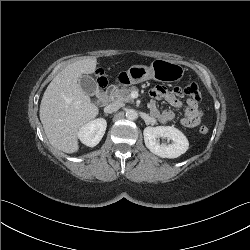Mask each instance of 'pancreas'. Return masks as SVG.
Instances as JSON below:
<instances>
[{
	"label": "pancreas",
	"instance_id": "1",
	"mask_svg": "<svg viewBox=\"0 0 250 250\" xmlns=\"http://www.w3.org/2000/svg\"><path fill=\"white\" fill-rule=\"evenodd\" d=\"M136 90L137 88L135 86L121 87L111 92V98L116 102L133 103L134 100L130 94L132 91H136Z\"/></svg>",
	"mask_w": 250,
	"mask_h": 250
}]
</instances>
